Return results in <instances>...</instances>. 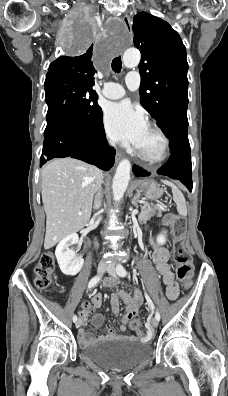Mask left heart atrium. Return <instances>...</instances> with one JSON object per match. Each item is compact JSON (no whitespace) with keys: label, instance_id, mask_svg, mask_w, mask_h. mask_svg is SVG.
<instances>
[{"label":"left heart atrium","instance_id":"1","mask_svg":"<svg viewBox=\"0 0 228 396\" xmlns=\"http://www.w3.org/2000/svg\"><path fill=\"white\" fill-rule=\"evenodd\" d=\"M104 124L112 139L135 147H138L147 129L143 113L128 101L108 105Z\"/></svg>","mask_w":228,"mask_h":396}]
</instances>
